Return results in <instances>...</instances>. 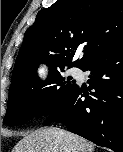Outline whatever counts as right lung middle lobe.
<instances>
[{
    "mask_svg": "<svg viewBox=\"0 0 123 152\" xmlns=\"http://www.w3.org/2000/svg\"><path fill=\"white\" fill-rule=\"evenodd\" d=\"M71 79L68 77L65 81L59 70H54L44 83L36 77L20 84L9 94L4 123L16 126L60 110L77 88Z\"/></svg>",
    "mask_w": 123,
    "mask_h": 152,
    "instance_id": "dd1d6c3e",
    "label": "right lung middle lobe"
}]
</instances>
